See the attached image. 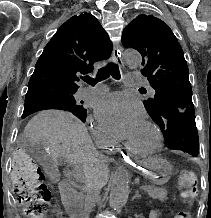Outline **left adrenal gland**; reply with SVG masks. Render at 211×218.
Instances as JSON below:
<instances>
[{
    "instance_id": "1",
    "label": "left adrenal gland",
    "mask_w": 211,
    "mask_h": 218,
    "mask_svg": "<svg viewBox=\"0 0 211 218\" xmlns=\"http://www.w3.org/2000/svg\"><path fill=\"white\" fill-rule=\"evenodd\" d=\"M137 198H141V196L139 194V190H136L135 196H134V198H132V200H137Z\"/></svg>"
}]
</instances>
